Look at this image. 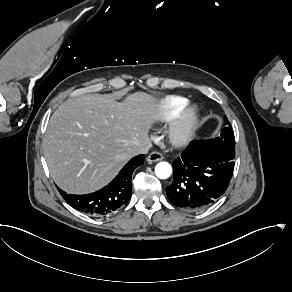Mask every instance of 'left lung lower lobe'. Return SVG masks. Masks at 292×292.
Masks as SVG:
<instances>
[{
  "label": "left lung lower lobe",
  "instance_id": "obj_1",
  "mask_svg": "<svg viewBox=\"0 0 292 292\" xmlns=\"http://www.w3.org/2000/svg\"><path fill=\"white\" fill-rule=\"evenodd\" d=\"M192 141L173 162V182L166 187L170 202L187 211L214 204L226 191L234 169L235 154Z\"/></svg>",
  "mask_w": 292,
  "mask_h": 292
}]
</instances>
